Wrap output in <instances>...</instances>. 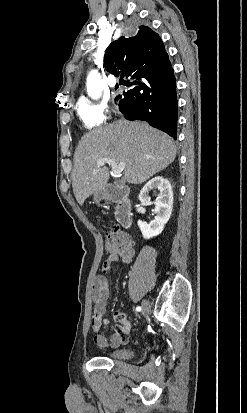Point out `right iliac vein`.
Masks as SVG:
<instances>
[{
  "mask_svg": "<svg viewBox=\"0 0 247 413\" xmlns=\"http://www.w3.org/2000/svg\"><path fill=\"white\" fill-rule=\"evenodd\" d=\"M150 310V303L147 300L142 301V314L146 316Z\"/></svg>",
  "mask_w": 247,
  "mask_h": 413,
  "instance_id": "1",
  "label": "right iliac vein"
}]
</instances>
